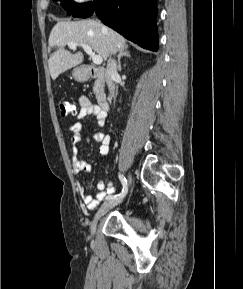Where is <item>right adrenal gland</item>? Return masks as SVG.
<instances>
[{"label":"right adrenal gland","mask_w":243,"mask_h":289,"mask_svg":"<svg viewBox=\"0 0 243 289\" xmlns=\"http://www.w3.org/2000/svg\"><path fill=\"white\" fill-rule=\"evenodd\" d=\"M122 57H131L130 51L127 48H122L119 50L118 62H117L118 71H121V69H122V67H121V58Z\"/></svg>","instance_id":"right-adrenal-gland-1"}]
</instances>
